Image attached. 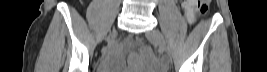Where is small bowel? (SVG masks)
Segmentation results:
<instances>
[{"label": "small bowel", "instance_id": "1", "mask_svg": "<svg viewBox=\"0 0 267 72\" xmlns=\"http://www.w3.org/2000/svg\"><path fill=\"white\" fill-rule=\"evenodd\" d=\"M182 8L185 11L187 20L192 23L195 20L196 2L194 0L182 1Z\"/></svg>", "mask_w": 267, "mask_h": 72}]
</instances>
